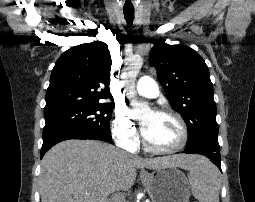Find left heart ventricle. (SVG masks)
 <instances>
[{"mask_svg": "<svg viewBox=\"0 0 255 202\" xmlns=\"http://www.w3.org/2000/svg\"><path fill=\"white\" fill-rule=\"evenodd\" d=\"M141 124L146 139L154 147L170 148L180 141V127L173 117L150 111L143 115Z\"/></svg>", "mask_w": 255, "mask_h": 202, "instance_id": "left-heart-ventricle-1", "label": "left heart ventricle"}]
</instances>
